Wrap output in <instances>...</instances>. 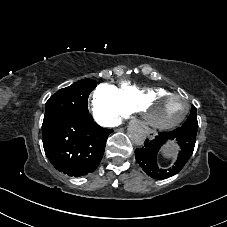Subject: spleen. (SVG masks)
<instances>
[{
	"mask_svg": "<svg viewBox=\"0 0 227 227\" xmlns=\"http://www.w3.org/2000/svg\"><path fill=\"white\" fill-rule=\"evenodd\" d=\"M178 145L175 144L173 141H168L163 147H162V154L165 158H173L175 159L178 152Z\"/></svg>",
	"mask_w": 227,
	"mask_h": 227,
	"instance_id": "1",
	"label": "spleen"
}]
</instances>
